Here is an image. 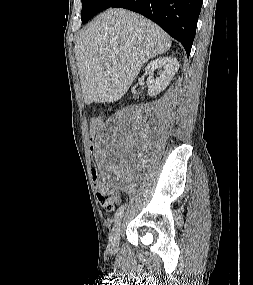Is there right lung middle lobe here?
<instances>
[{"label":"right lung middle lobe","instance_id":"obj_1","mask_svg":"<svg viewBox=\"0 0 253 285\" xmlns=\"http://www.w3.org/2000/svg\"><path fill=\"white\" fill-rule=\"evenodd\" d=\"M116 1L117 0H82V23H86L98 12L111 7Z\"/></svg>","mask_w":253,"mask_h":285}]
</instances>
